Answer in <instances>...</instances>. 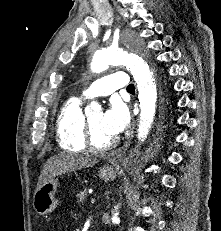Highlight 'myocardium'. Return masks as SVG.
<instances>
[{"label":"myocardium","mask_w":221,"mask_h":231,"mask_svg":"<svg viewBox=\"0 0 221 231\" xmlns=\"http://www.w3.org/2000/svg\"><path fill=\"white\" fill-rule=\"evenodd\" d=\"M83 138L86 148L95 153L107 152L113 149L118 144V139L114 138L111 142L104 146L97 145L93 139L88 116H85L83 120Z\"/></svg>","instance_id":"obj_1"}]
</instances>
